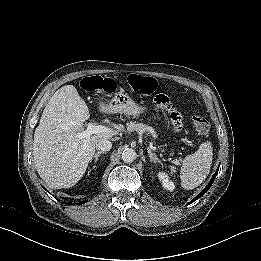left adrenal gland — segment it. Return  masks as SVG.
I'll list each match as a JSON object with an SVG mask.
<instances>
[{"label":"left adrenal gland","instance_id":"1","mask_svg":"<svg viewBox=\"0 0 261 261\" xmlns=\"http://www.w3.org/2000/svg\"><path fill=\"white\" fill-rule=\"evenodd\" d=\"M147 152L150 158V161L153 163H161L160 159L154 154L152 153L150 148H147Z\"/></svg>","mask_w":261,"mask_h":261}]
</instances>
